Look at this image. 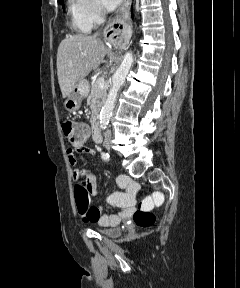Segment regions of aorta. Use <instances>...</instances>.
I'll return each mask as SVG.
<instances>
[{
	"label": "aorta",
	"instance_id": "aorta-1",
	"mask_svg": "<svg viewBox=\"0 0 240 288\" xmlns=\"http://www.w3.org/2000/svg\"><path fill=\"white\" fill-rule=\"evenodd\" d=\"M133 55L127 52L124 55L123 61L112 78V87L109 91L108 97L101 109L99 121L101 129H106L112 117L116 98L120 87L124 84L126 76L132 66Z\"/></svg>",
	"mask_w": 240,
	"mask_h": 288
}]
</instances>
